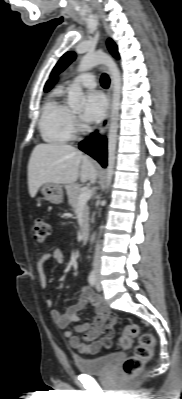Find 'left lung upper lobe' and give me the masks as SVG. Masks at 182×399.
Masks as SVG:
<instances>
[{"label":"left lung upper lobe","mask_w":182,"mask_h":399,"mask_svg":"<svg viewBox=\"0 0 182 399\" xmlns=\"http://www.w3.org/2000/svg\"><path fill=\"white\" fill-rule=\"evenodd\" d=\"M107 46H108V49L111 52V54L118 59L119 54L117 51L116 44L111 39H109L107 41ZM75 57H76V55L74 52L65 53L61 57V59L58 61V63L55 65V67L51 73V76L63 71L75 59Z\"/></svg>","instance_id":"1"}]
</instances>
